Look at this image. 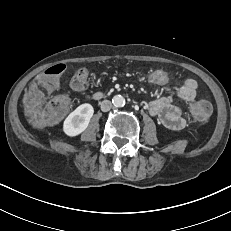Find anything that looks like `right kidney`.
<instances>
[{
    "label": "right kidney",
    "instance_id": "obj_1",
    "mask_svg": "<svg viewBox=\"0 0 231 231\" xmlns=\"http://www.w3.org/2000/svg\"><path fill=\"white\" fill-rule=\"evenodd\" d=\"M94 113L91 104L85 103L71 112L64 121L63 131L67 136L75 137L81 134L89 125Z\"/></svg>",
    "mask_w": 231,
    "mask_h": 231
}]
</instances>
